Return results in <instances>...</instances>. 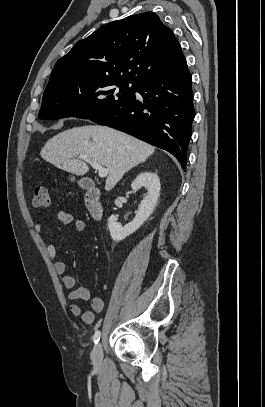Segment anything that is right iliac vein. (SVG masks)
I'll return each instance as SVG.
<instances>
[{
	"label": "right iliac vein",
	"mask_w": 265,
	"mask_h": 407,
	"mask_svg": "<svg viewBox=\"0 0 265 407\" xmlns=\"http://www.w3.org/2000/svg\"><path fill=\"white\" fill-rule=\"evenodd\" d=\"M102 356H103V352H102V344L98 343L97 345H95V347L93 348L92 354H91V358L93 360V362L98 365L101 363L102 361Z\"/></svg>",
	"instance_id": "right-iliac-vein-1"
}]
</instances>
